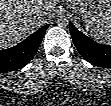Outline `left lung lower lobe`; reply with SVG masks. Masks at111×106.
Instances as JSON below:
<instances>
[{"mask_svg":"<svg viewBox=\"0 0 111 106\" xmlns=\"http://www.w3.org/2000/svg\"><path fill=\"white\" fill-rule=\"evenodd\" d=\"M72 40L82 57L98 67H111V46L99 44L82 32L70 22Z\"/></svg>","mask_w":111,"mask_h":106,"instance_id":"left-lung-lower-lobe-1","label":"left lung lower lobe"}]
</instances>
